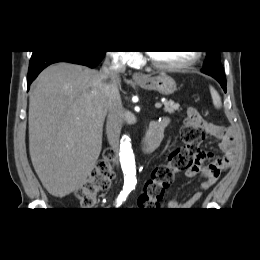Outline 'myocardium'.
<instances>
[{"label":"myocardium","instance_id":"obj_1","mask_svg":"<svg viewBox=\"0 0 260 260\" xmlns=\"http://www.w3.org/2000/svg\"><path fill=\"white\" fill-rule=\"evenodd\" d=\"M200 58L201 52L195 51L193 57L185 62L179 64H163L156 61L154 57L151 55V53L147 54V60L149 61V63L153 67L163 71H181L190 68L191 66L195 65L200 60Z\"/></svg>","mask_w":260,"mask_h":260}]
</instances>
